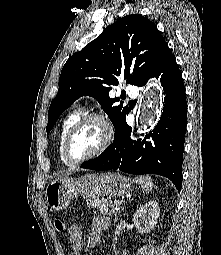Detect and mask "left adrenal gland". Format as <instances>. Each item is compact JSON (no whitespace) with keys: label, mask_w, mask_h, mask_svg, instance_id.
<instances>
[{"label":"left adrenal gland","mask_w":221,"mask_h":255,"mask_svg":"<svg viewBox=\"0 0 221 255\" xmlns=\"http://www.w3.org/2000/svg\"><path fill=\"white\" fill-rule=\"evenodd\" d=\"M117 218H118V216H117V214L115 215V221H117Z\"/></svg>","instance_id":"obj_1"}]
</instances>
